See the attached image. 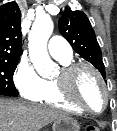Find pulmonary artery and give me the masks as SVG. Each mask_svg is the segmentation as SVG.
Wrapping results in <instances>:
<instances>
[{"label": "pulmonary artery", "mask_w": 117, "mask_h": 131, "mask_svg": "<svg viewBox=\"0 0 117 131\" xmlns=\"http://www.w3.org/2000/svg\"><path fill=\"white\" fill-rule=\"evenodd\" d=\"M48 51L56 60L72 58V49L69 43L61 36H53L48 43Z\"/></svg>", "instance_id": "e3ab8cb5"}]
</instances>
